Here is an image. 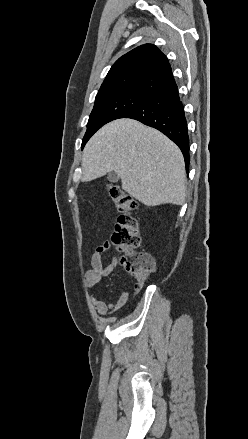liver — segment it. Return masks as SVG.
<instances>
[{"label": "liver", "instance_id": "obj_1", "mask_svg": "<svg viewBox=\"0 0 248 439\" xmlns=\"http://www.w3.org/2000/svg\"><path fill=\"white\" fill-rule=\"evenodd\" d=\"M116 172L122 189L146 206L183 205L186 172L183 155L158 130L133 119L104 125L88 141L82 158V182Z\"/></svg>", "mask_w": 248, "mask_h": 439}]
</instances>
